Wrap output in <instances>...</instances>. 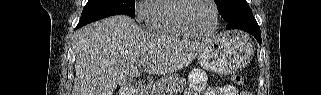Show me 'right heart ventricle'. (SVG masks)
Wrapping results in <instances>:
<instances>
[{"label":"right heart ventricle","instance_id":"obj_1","mask_svg":"<svg viewBox=\"0 0 321 95\" xmlns=\"http://www.w3.org/2000/svg\"><path fill=\"white\" fill-rule=\"evenodd\" d=\"M180 0H155L147 27L156 32L190 36L185 29L174 21V10Z\"/></svg>","mask_w":321,"mask_h":95}]
</instances>
